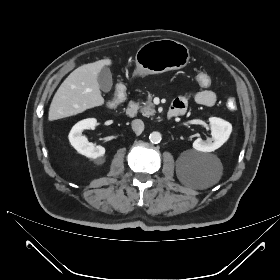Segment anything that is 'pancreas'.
I'll use <instances>...</instances> for the list:
<instances>
[{"instance_id":"obj_1","label":"pancreas","mask_w":280,"mask_h":280,"mask_svg":"<svg viewBox=\"0 0 280 280\" xmlns=\"http://www.w3.org/2000/svg\"><path fill=\"white\" fill-rule=\"evenodd\" d=\"M154 95L149 94L147 96V100L145 102H142V106L140 108V111L142 113L143 116L145 117H150V116H154L156 111H155V105L152 102Z\"/></svg>"}]
</instances>
